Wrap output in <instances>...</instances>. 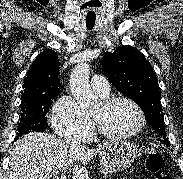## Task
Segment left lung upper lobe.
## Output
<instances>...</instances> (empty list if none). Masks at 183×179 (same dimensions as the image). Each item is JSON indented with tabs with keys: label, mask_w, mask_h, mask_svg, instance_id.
<instances>
[{
	"label": "left lung upper lobe",
	"mask_w": 183,
	"mask_h": 179,
	"mask_svg": "<svg viewBox=\"0 0 183 179\" xmlns=\"http://www.w3.org/2000/svg\"><path fill=\"white\" fill-rule=\"evenodd\" d=\"M102 67L113 86L141 107L149 126L163 137L164 144L169 145L161 112L158 80L144 55L129 45L121 46L114 53L104 55Z\"/></svg>",
	"instance_id": "obj_1"
}]
</instances>
